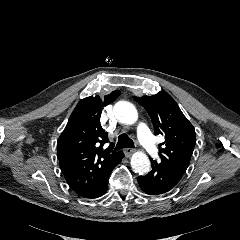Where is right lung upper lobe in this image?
<instances>
[{
	"mask_svg": "<svg viewBox=\"0 0 240 240\" xmlns=\"http://www.w3.org/2000/svg\"><path fill=\"white\" fill-rule=\"evenodd\" d=\"M90 96L79 101L57 142V156L69 186L80 196L89 192L118 162L122 151L103 150L108 135L100 125L103 107L120 96Z\"/></svg>",
	"mask_w": 240,
	"mask_h": 240,
	"instance_id": "1",
	"label": "right lung upper lobe"
}]
</instances>
